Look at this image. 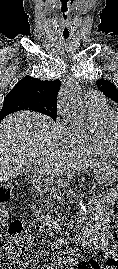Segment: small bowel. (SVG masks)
<instances>
[{
  "label": "small bowel",
  "instance_id": "c3829d8e",
  "mask_svg": "<svg viewBox=\"0 0 118 269\" xmlns=\"http://www.w3.org/2000/svg\"><path fill=\"white\" fill-rule=\"evenodd\" d=\"M118 190V186L116 188ZM112 201L106 206L95 204L91 208V218L86 222L85 231L77 241L83 246L100 249L104 253L105 264L109 268L118 267V246L112 248L109 246V223L114 215ZM69 260H63L60 264L49 269H57L60 265L68 263ZM92 268V267H89ZM74 269V268H69Z\"/></svg>",
  "mask_w": 118,
  "mask_h": 269
}]
</instances>
